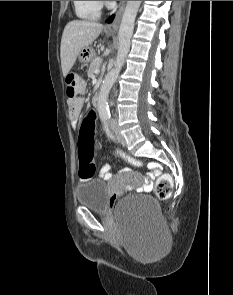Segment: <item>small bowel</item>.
I'll return each mask as SVG.
<instances>
[{"instance_id":"obj_1","label":"small bowel","mask_w":233,"mask_h":295,"mask_svg":"<svg viewBox=\"0 0 233 295\" xmlns=\"http://www.w3.org/2000/svg\"><path fill=\"white\" fill-rule=\"evenodd\" d=\"M68 113H69V119L71 121V124L73 127L76 126L82 109L84 105V100L82 97L76 98V99H69L68 102ZM148 169L150 170L149 178L154 179L156 176H158L160 172V165L158 163H150L148 165ZM121 172H129V169L124 168L121 170ZM101 177L105 180H110L112 178V173L110 171V165L106 163L101 171ZM153 188L152 183L145 184L141 186L138 190L139 192H149Z\"/></svg>"}]
</instances>
